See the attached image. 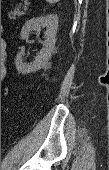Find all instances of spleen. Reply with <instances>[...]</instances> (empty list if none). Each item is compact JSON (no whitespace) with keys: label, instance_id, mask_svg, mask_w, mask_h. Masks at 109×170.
<instances>
[{"label":"spleen","instance_id":"spleen-1","mask_svg":"<svg viewBox=\"0 0 109 170\" xmlns=\"http://www.w3.org/2000/svg\"><path fill=\"white\" fill-rule=\"evenodd\" d=\"M47 2H49V3H56V2H58L59 0H46Z\"/></svg>","mask_w":109,"mask_h":170}]
</instances>
